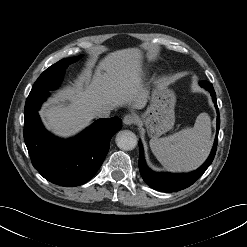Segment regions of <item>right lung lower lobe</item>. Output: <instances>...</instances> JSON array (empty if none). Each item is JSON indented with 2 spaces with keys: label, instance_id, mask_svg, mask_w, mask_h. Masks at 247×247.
<instances>
[{
  "label": "right lung lower lobe",
  "instance_id": "obj_1",
  "mask_svg": "<svg viewBox=\"0 0 247 247\" xmlns=\"http://www.w3.org/2000/svg\"><path fill=\"white\" fill-rule=\"evenodd\" d=\"M46 96L28 97L25 104L24 140L32 164L41 176L54 184L79 186L101 167L110 140L121 129L122 121L118 117L99 119L77 137L60 140L44 129L38 115Z\"/></svg>",
  "mask_w": 247,
  "mask_h": 247
}]
</instances>
